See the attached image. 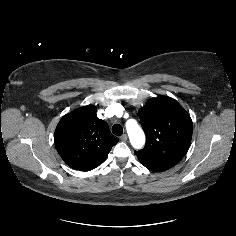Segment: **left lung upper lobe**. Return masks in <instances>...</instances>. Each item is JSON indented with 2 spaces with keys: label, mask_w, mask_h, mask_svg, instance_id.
Wrapping results in <instances>:
<instances>
[{
  "label": "left lung upper lobe",
  "mask_w": 236,
  "mask_h": 236,
  "mask_svg": "<svg viewBox=\"0 0 236 236\" xmlns=\"http://www.w3.org/2000/svg\"><path fill=\"white\" fill-rule=\"evenodd\" d=\"M147 141L136 151L139 161L153 171L175 166L186 154L192 139L189 114L174 99L160 95L147 101L138 111Z\"/></svg>",
  "instance_id": "5c2ea615"
}]
</instances>
